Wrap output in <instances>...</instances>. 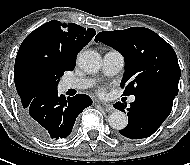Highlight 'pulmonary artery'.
<instances>
[{
    "instance_id": "obj_1",
    "label": "pulmonary artery",
    "mask_w": 190,
    "mask_h": 165,
    "mask_svg": "<svg viewBox=\"0 0 190 165\" xmlns=\"http://www.w3.org/2000/svg\"><path fill=\"white\" fill-rule=\"evenodd\" d=\"M124 66L123 55L115 50L106 52L103 56L102 71L107 76H113L119 73ZM93 80L90 78H70L64 81L65 89L83 90L92 86ZM130 102L135 101L134 96H130Z\"/></svg>"
}]
</instances>
